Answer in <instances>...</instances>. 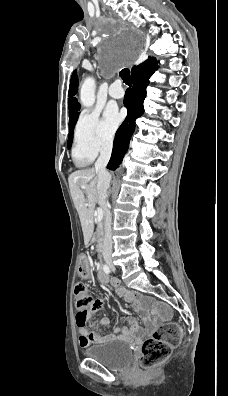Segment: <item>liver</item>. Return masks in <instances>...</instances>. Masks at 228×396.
<instances>
[{
    "instance_id": "obj_1",
    "label": "liver",
    "mask_w": 228,
    "mask_h": 396,
    "mask_svg": "<svg viewBox=\"0 0 228 396\" xmlns=\"http://www.w3.org/2000/svg\"><path fill=\"white\" fill-rule=\"evenodd\" d=\"M68 182L71 197L81 221L85 240L88 241L93 230L95 205L99 203L103 207L97 190L98 172L94 168L77 170L69 176Z\"/></svg>"
}]
</instances>
